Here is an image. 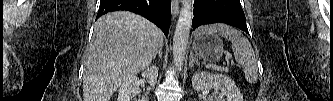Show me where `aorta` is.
Instances as JSON below:
<instances>
[{
  "instance_id": "762f6f07",
  "label": "aorta",
  "mask_w": 333,
  "mask_h": 101,
  "mask_svg": "<svg viewBox=\"0 0 333 101\" xmlns=\"http://www.w3.org/2000/svg\"><path fill=\"white\" fill-rule=\"evenodd\" d=\"M192 23L191 1L184 0L173 38V60L178 70L183 65Z\"/></svg>"
}]
</instances>
